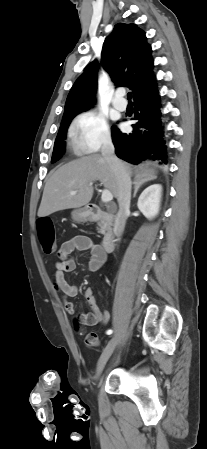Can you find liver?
I'll return each instance as SVG.
<instances>
[{"instance_id": "liver-1", "label": "liver", "mask_w": 207, "mask_h": 449, "mask_svg": "<svg viewBox=\"0 0 207 449\" xmlns=\"http://www.w3.org/2000/svg\"><path fill=\"white\" fill-rule=\"evenodd\" d=\"M129 175L131 165L123 163ZM155 170L144 168L136 174L141 181H149ZM99 180L114 197L118 196L115 175L107 161L98 154L84 156L59 167L47 181L38 216L45 217L54 212L87 205L93 196V182ZM76 191L75 195L71 192Z\"/></svg>"}]
</instances>
